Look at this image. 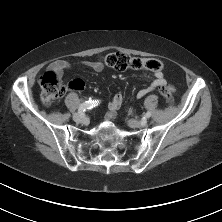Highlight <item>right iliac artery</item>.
I'll list each match as a JSON object with an SVG mask.
<instances>
[{
  "label": "right iliac artery",
  "instance_id": "right-iliac-artery-1",
  "mask_svg": "<svg viewBox=\"0 0 222 222\" xmlns=\"http://www.w3.org/2000/svg\"><path fill=\"white\" fill-rule=\"evenodd\" d=\"M98 104H99V100H88L79 106L78 111L79 113L84 112L88 109H91L97 106Z\"/></svg>",
  "mask_w": 222,
  "mask_h": 222
}]
</instances>
